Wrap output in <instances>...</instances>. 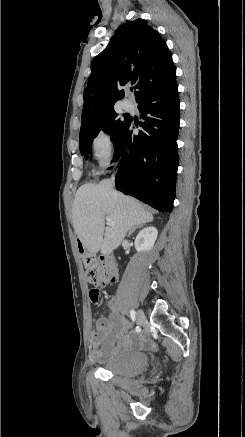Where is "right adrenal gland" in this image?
<instances>
[{"instance_id":"obj_1","label":"right adrenal gland","mask_w":245,"mask_h":437,"mask_svg":"<svg viewBox=\"0 0 245 437\" xmlns=\"http://www.w3.org/2000/svg\"><path fill=\"white\" fill-rule=\"evenodd\" d=\"M142 226H143V224H142V225H138V226L133 227V228L129 231V234L133 233L136 229L141 228Z\"/></svg>"}]
</instances>
